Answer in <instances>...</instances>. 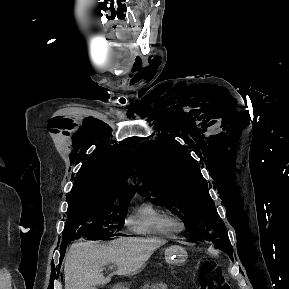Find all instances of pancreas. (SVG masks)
<instances>
[{
  "label": "pancreas",
  "instance_id": "1",
  "mask_svg": "<svg viewBox=\"0 0 289 289\" xmlns=\"http://www.w3.org/2000/svg\"><path fill=\"white\" fill-rule=\"evenodd\" d=\"M142 289H166V286L163 283H152L145 284Z\"/></svg>",
  "mask_w": 289,
  "mask_h": 289
}]
</instances>
